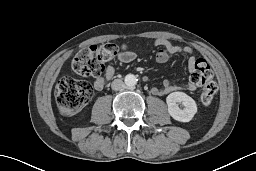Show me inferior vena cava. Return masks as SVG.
<instances>
[{
  "mask_svg": "<svg viewBox=\"0 0 256 171\" xmlns=\"http://www.w3.org/2000/svg\"><path fill=\"white\" fill-rule=\"evenodd\" d=\"M123 87L124 82L121 79H115L111 84V88L115 91L121 90Z\"/></svg>",
  "mask_w": 256,
  "mask_h": 171,
  "instance_id": "1",
  "label": "inferior vena cava"
}]
</instances>
